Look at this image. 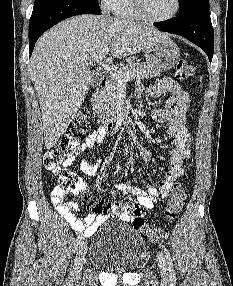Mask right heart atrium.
<instances>
[{"label":"right heart atrium","instance_id":"right-heart-atrium-1","mask_svg":"<svg viewBox=\"0 0 233 286\" xmlns=\"http://www.w3.org/2000/svg\"><path fill=\"white\" fill-rule=\"evenodd\" d=\"M100 1H101V6L104 10H110L113 0H100Z\"/></svg>","mask_w":233,"mask_h":286}]
</instances>
